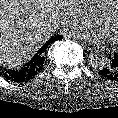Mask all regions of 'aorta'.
Segmentation results:
<instances>
[{"label":"aorta","instance_id":"aorta-1","mask_svg":"<svg viewBox=\"0 0 118 118\" xmlns=\"http://www.w3.org/2000/svg\"><path fill=\"white\" fill-rule=\"evenodd\" d=\"M107 55L102 51H94L90 56V63L95 68H103L108 63Z\"/></svg>","mask_w":118,"mask_h":118}]
</instances>
